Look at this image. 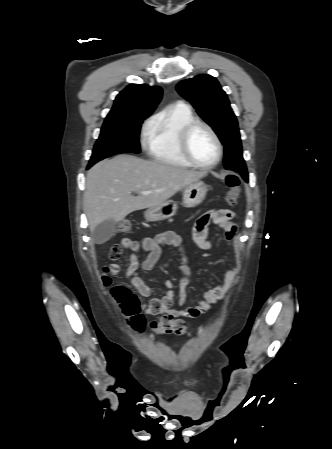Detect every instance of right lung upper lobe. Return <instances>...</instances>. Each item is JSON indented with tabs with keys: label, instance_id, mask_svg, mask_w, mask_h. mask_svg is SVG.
Wrapping results in <instances>:
<instances>
[{
	"label": "right lung upper lobe",
	"instance_id": "1",
	"mask_svg": "<svg viewBox=\"0 0 332 449\" xmlns=\"http://www.w3.org/2000/svg\"><path fill=\"white\" fill-rule=\"evenodd\" d=\"M162 98L159 86L150 87L146 84H130L121 91L106 118L149 116Z\"/></svg>",
	"mask_w": 332,
	"mask_h": 449
}]
</instances>
